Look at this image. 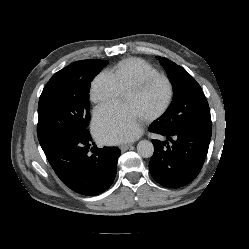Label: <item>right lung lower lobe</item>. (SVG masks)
<instances>
[{
    "mask_svg": "<svg viewBox=\"0 0 249 249\" xmlns=\"http://www.w3.org/2000/svg\"><path fill=\"white\" fill-rule=\"evenodd\" d=\"M91 136L65 137L42 148L61 181L73 191L98 195L107 190L116 176L120 150L117 147L96 148L88 153Z\"/></svg>",
    "mask_w": 249,
    "mask_h": 249,
    "instance_id": "obj_1",
    "label": "right lung lower lobe"
}]
</instances>
